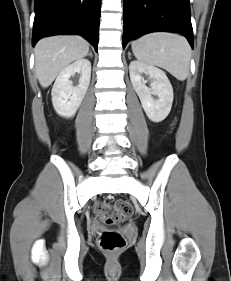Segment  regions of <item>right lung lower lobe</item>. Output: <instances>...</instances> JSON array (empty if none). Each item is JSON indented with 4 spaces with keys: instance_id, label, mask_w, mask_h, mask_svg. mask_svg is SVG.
<instances>
[{
    "instance_id": "obj_1",
    "label": "right lung lower lobe",
    "mask_w": 231,
    "mask_h": 281,
    "mask_svg": "<svg viewBox=\"0 0 231 281\" xmlns=\"http://www.w3.org/2000/svg\"><path fill=\"white\" fill-rule=\"evenodd\" d=\"M101 0H35L32 45L42 37L78 34L97 51Z\"/></svg>"
}]
</instances>
